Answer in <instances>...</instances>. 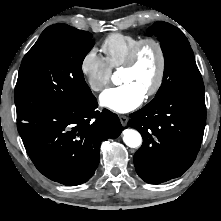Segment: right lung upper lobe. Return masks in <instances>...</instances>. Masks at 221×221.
Segmentation results:
<instances>
[{
	"instance_id": "cb5924a9",
	"label": "right lung upper lobe",
	"mask_w": 221,
	"mask_h": 221,
	"mask_svg": "<svg viewBox=\"0 0 221 221\" xmlns=\"http://www.w3.org/2000/svg\"><path fill=\"white\" fill-rule=\"evenodd\" d=\"M55 30H64V31H75L77 29L68 26L66 24H54L52 26H49L44 31H55Z\"/></svg>"
}]
</instances>
